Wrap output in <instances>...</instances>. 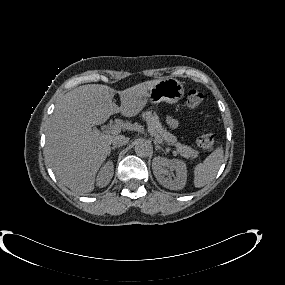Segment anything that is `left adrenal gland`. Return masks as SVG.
<instances>
[{
    "label": "left adrenal gland",
    "mask_w": 285,
    "mask_h": 285,
    "mask_svg": "<svg viewBox=\"0 0 285 285\" xmlns=\"http://www.w3.org/2000/svg\"><path fill=\"white\" fill-rule=\"evenodd\" d=\"M155 149H156V150H158V149H161V150H162V147L159 146L157 142H155Z\"/></svg>",
    "instance_id": "obj_1"
}]
</instances>
